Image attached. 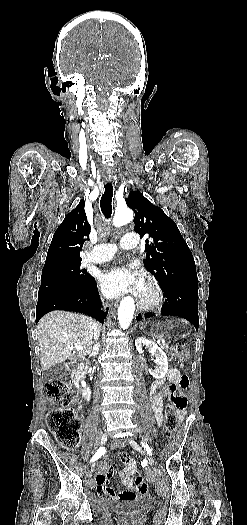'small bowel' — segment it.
Returning <instances> with one entry per match:
<instances>
[{
    "label": "small bowel",
    "instance_id": "c3829d8e",
    "mask_svg": "<svg viewBox=\"0 0 247 525\" xmlns=\"http://www.w3.org/2000/svg\"><path fill=\"white\" fill-rule=\"evenodd\" d=\"M182 375L181 372L176 368H171L167 373V378L172 384H179V381L181 379ZM181 388V387H180ZM182 392L185 390L181 388ZM152 406L154 410V414L156 417V420L158 424L162 423L163 420V393L160 391H156L151 396ZM120 460L123 464V468L120 471V478L122 481V484L125 487V490L117 493L116 497L113 499L119 500V501H130L134 498V484L132 480V476L137 472V463L136 461L129 457L126 453H122L120 455ZM109 473L112 475H116L118 473V470L116 468H112L109 470ZM95 479L97 481V484L94 486V491L96 493L100 494H108L110 496H114L116 494V491L112 489L110 485H107L106 475L102 472H99L96 474ZM108 479H111V476H108ZM107 485V486H106Z\"/></svg>",
    "mask_w": 247,
    "mask_h": 525
}]
</instances>
